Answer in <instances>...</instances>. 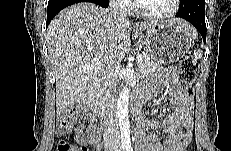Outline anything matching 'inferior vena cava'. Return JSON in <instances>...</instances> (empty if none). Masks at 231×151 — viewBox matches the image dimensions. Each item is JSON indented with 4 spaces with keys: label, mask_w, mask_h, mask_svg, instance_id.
Instances as JSON below:
<instances>
[{
    "label": "inferior vena cava",
    "mask_w": 231,
    "mask_h": 151,
    "mask_svg": "<svg viewBox=\"0 0 231 151\" xmlns=\"http://www.w3.org/2000/svg\"><path fill=\"white\" fill-rule=\"evenodd\" d=\"M110 11L112 14L117 15L120 19H127V14L121 10L118 0L110 1ZM115 86V78L110 76L107 80L108 93L106 95L107 99L104 103L103 137L105 146L112 145L117 148L120 145V130L116 110V100L113 95L116 90Z\"/></svg>",
    "instance_id": "602c4592"
}]
</instances>
